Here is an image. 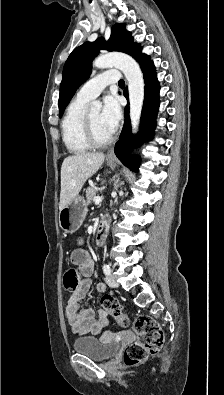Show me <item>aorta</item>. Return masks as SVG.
I'll return each mask as SVG.
<instances>
[{"label": "aorta", "mask_w": 224, "mask_h": 395, "mask_svg": "<svg viewBox=\"0 0 224 395\" xmlns=\"http://www.w3.org/2000/svg\"><path fill=\"white\" fill-rule=\"evenodd\" d=\"M93 67L106 69L115 67L121 70L128 83L129 103H130V119L133 133L137 131L143 101H144V79L137 62L124 53H109L100 55L93 61ZM102 104L94 101L90 105L91 112H99Z\"/></svg>", "instance_id": "aorta-1"}]
</instances>
